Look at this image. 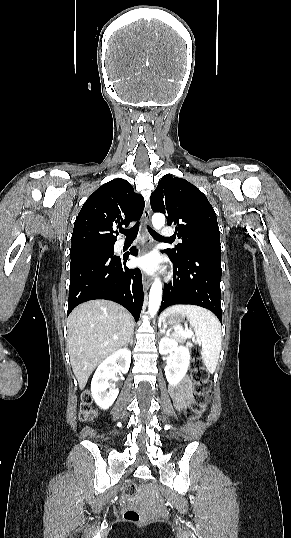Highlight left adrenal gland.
<instances>
[{
  "label": "left adrenal gland",
  "instance_id": "1",
  "mask_svg": "<svg viewBox=\"0 0 291 538\" xmlns=\"http://www.w3.org/2000/svg\"><path fill=\"white\" fill-rule=\"evenodd\" d=\"M160 333H164V329L160 327Z\"/></svg>",
  "mask_w": 291,
  "mask_h": 538
}]
</instances>
